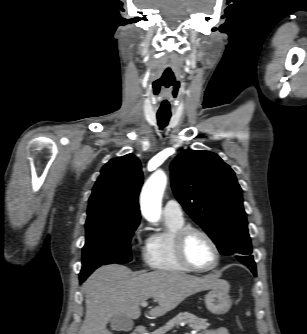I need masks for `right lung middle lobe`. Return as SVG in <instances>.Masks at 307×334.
<instances>
[{"instance_id":"1","label":"right lung middle lobe","mask_w":307,"mask_h":334,"mask_svg":"<svg viewBox=\"0 0 307 334\" xmlns=\"http://www.w3.org/2000/svg\"><path fill=\"white\" fill-rule=\"evenodd\" d=\"M138 225L112 220L86 221L80 279L85 280L100 265L131 261L130 241Z\"/></svg>"}]
</instances>
